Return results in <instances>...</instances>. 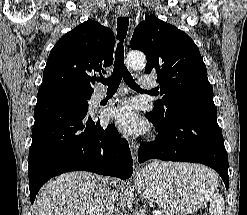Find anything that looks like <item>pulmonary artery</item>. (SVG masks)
<instances>
[{"label":"pulmonary artery","mask_w":247,"mask_h":215,"mask_svg":"<svg viewBox=\"0 0 247 215\" xmlns=\"http://www.w3.org/2000/svg\"><path fill=\"white\" fill-rule=\"evenodd\" d=\"M139 81H140V84L142 85V87L148 88V89L154 88L157 85L155 79L153 77H149V76H142V77H140ZM105 96H106L105 92L98 91L94 95V100L98 102V101L102 100L103 98H105Z\"/></svg>","instance_id":"e3ab8cb5"}]
</instances>
